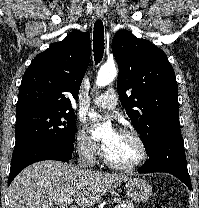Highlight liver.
<instances>
[{"instance_id": "obj_1", "label": "liver", "mask_w": 199, "mask_h": 208, "mask_svg": "<svg viewBox=\"0 0 199 208\" xmlns=\"http://www.w3.org/2000/svg\"><path fill=\"white\" fill-rule=\"evenodd\" d=\"M127 180L123 174L101 173L60 161H41L25 168L12 181L9 208H54L69 199L81 208L91 207L108 190Z\"/></svg>"}]
</instances>
